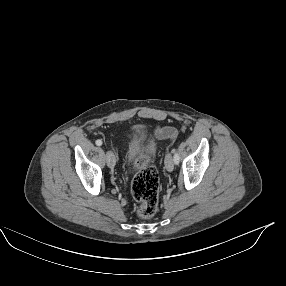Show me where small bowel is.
I'll use <instances>...</instances> for the list:
<instances>
[{
	"mask_svg": "<svg viewBox=\"0 0 286 286\" xmlns=\"http://www.w3.org/2000/svg\"><path fill=\"white\" fill-rule=\"evenodd\" d=\"M179 131V126L157 127L155 129V134L160 139L173 141L177 137Z\"/></svg>",
	"mask_w": 286,
	"mask_h": 286,
	"instance_id": "c3829d8e",
	"label": "small bowel"
}]
</instances>
